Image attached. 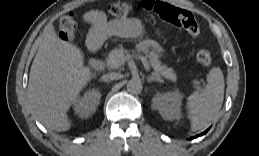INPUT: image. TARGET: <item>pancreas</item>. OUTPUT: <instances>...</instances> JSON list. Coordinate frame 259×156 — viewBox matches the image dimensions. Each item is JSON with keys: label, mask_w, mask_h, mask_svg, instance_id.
<instances>
[{"label": "pancreas", "mask_w": 259, "mask_h": 156, "mask_svg": "<svg viewBox=\"0 0 259 156\" xmlns=\"http://www.w3.org/2000/svg\"><path fill=\"white\" fill-rule=\"evenodd\" d=\"M140 52L144 53L146 57L150 59V65L153 68L155 75L163 76L165 79L171 81L176 80V74L173 69L168 68L161 63L159 55L156 53L155 49L150 48V42L148 41L142 42L137 50H132V54L122 47L115 48L109 53L106 64L110 69H119L128 59L140 56Z\"/></svg>", "instance_id": "cf45deb5"}]
</instances>
